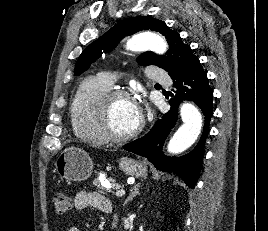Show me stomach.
Instances as JSON below:
<instances>
[{
  "mask_svg": "<svg viewBox=\"0 0 268 231\" xmlns=\"http://www.w3.org/2000/svg\"><path fill=\"white\" fill-rule=\"evenodd\" d=\"M119 168L128 176L144 177L147 167L140 161L122 158ZM55 170L67 181L81 182L87 180L93 172V161L89 154L74 146L64 149L55 162Z\"/></svg>",
  "mask_w": 268,
  "mask_h": 231,
  "instance_id": "0dacf381",
  "label": "stomach"
}]
</instances>
